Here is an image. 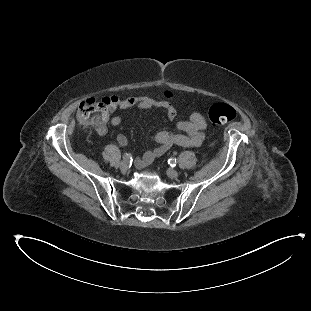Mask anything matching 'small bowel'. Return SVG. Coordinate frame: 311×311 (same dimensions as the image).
<instances>
[{"instance_id": "small-bowel-1", "label": "small bowel", "mask_w": 311, "mask_h": 311, "mask_svg": "<svg viewBox=\"0 0 311 311\" xmlns=\"http://www.w3.org/2000/svg\"><path fill=\"white\" fill-rule=\"evenodd\" d=\"M108 97L104 98L107 105ZM128 105L125 110L138 108V109H163L169 118H174L177 114L176 108L169 102L164 100H156L150 97L144 96H131L127 97ZM108 107V105H107ZM109 113H113L108 108ZM122 123L121 116H113L110 119V124L114 127L119 126ZM177 128L182 133H171L166 131H160L155 134L154 139L159 144L153 150L146 151L138 160L137 167L144 168L150 165L156 158L164 155L172 146H185V147H198L205 139V131L207 123L205 118L198 112H194L190 115L188 120L179 121ZM96 131L100 135L107 133V126L104 122L96 125ZM117 141L120 145L124 146L127 143L124 135H118Z\"/></svg>"}]
</instances>
